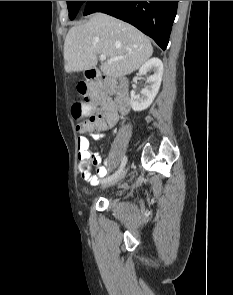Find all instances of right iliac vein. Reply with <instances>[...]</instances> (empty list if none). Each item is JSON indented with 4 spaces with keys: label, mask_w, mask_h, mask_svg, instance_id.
Instances as JSON below:
<instances>
[{
    "label": "right iliac vein",
    "mask_w": 233,
    "mask_h": 295,
    "mask_svg": "<svg viewBox=\"0 0 233 295\" xmlns=\"http://www.w3.org/2000/svg\"><path fill=\"white\" fill-rule=\"evenodd\" d=\"M126 172H127V169H124L118 176L114 177L113 179H110V180L107 178L103 179L101 181L102 189L108 188L118 183L125 176Z\"/></svg>",
    "instance_id": "63e3f726"
}]
</instances>
